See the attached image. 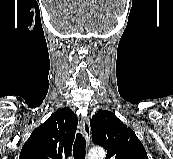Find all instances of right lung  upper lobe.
Segmentation results:
<instances>
[{"mask_svg":"<svg viewBox=\"0 0 173 159\" xmlns=\"http://www.w3.org/2000/svg\"><path fill=\"white\" fill-rule=\"evenodd\" d=\"M78 119L68 108L58 109L23 145L19 159H67L77 129Z\"/></svg>","mask_w":173,"mask_h":159,"instance_id":"cb5924a9","label":"right lung upper lobe"}]
</instances>
